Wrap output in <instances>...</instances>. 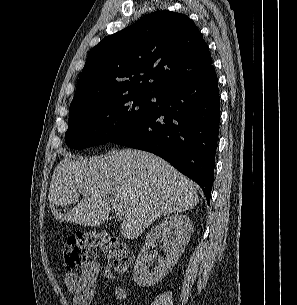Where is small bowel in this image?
I'll list each match as a JSON object with an SVG mask.
<instances>
[{"instance_id":"small-bowel-1","label":"small bowel","mask_w":297,"mask_h":305,"mask_svg":"<svg viewBox=\"0 0 297 305\" xmlns=\"http://www.w3.org/2000/svg\"><path fill=\"white\" fill-rule=\"evenodd\" d=\"M100 275L108 281H116V276L109 268L101 266L96 261L86 264L80 274L74 272L65 274V284L73 295V305H91L96 290V282ZM113 294L117 301H124L127 298L126 289L121 286L114 287Z\"/></svg>"}]
</instances>
